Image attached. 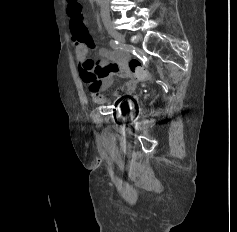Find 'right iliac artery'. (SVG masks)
Masks as SVG:
<instances>
[{
    "label": "right iliac artery",
    "instance_id": "right-iliac-artery-1",
    "mask_svg": "<svg viewBox=\"0 0 237 232\" xmlns=\"http://www.w3.org/2000/svg\"><path fill=\"white\" fill-rule=\"evenodd\" d=\"M110 46H111V48H113V49H115V50H117V49L120 48L119 42L116 41V40H111V41H110Z\"/></svg>",
    "mask_w": 237,
    "mask_h": 232
}]
</instances>
